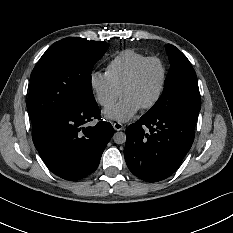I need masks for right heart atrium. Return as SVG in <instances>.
<instances>
[{
    "mask_svg": "<svg viewBox=\"0 0 233 233\" xmlns=\"http://www.w3.org/2000/svg\"><path fill=\"white\" fill-rule=\"evenodd\" d=\"M89 86L95 100L103 107H109L114 104L120 95V90L111 83L105 74L98 71H93L90 74Z\"/></svg>",
    "mask_w": 233,
    "mask_h": 233,
    "instance_id": "d8ad5b80",
    "label": "right heart atrium"
}]
</instances>
